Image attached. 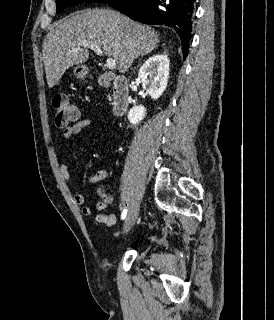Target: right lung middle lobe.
Instances as JSON below:
<instances>
[{
	"label": "right lung middle lobe",
	"mask_w": 274,
	"mask_h": 320,
	"mask_svg": "<svg viewBox=\"0 0 274 320\" xmlns=\"http://www.w3.org/2000/svg\"><path fill=\"white\" fill-rule=\"evenodd\" d=\"M111 0H56V12L60 13L66 7L81 3V2H94L106 4Z\"/></svg>",
	"instance_id": "right-lung-middle-lobe-1"
}]
</instances>
